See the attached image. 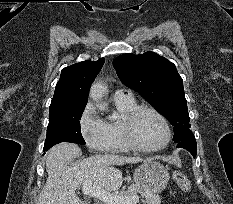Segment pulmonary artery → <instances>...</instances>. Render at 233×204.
<instances>
[{"instance_id": "e3ab8cb5", "label": "pulmonary artery", "mask_w": 233, "mask_h": 204, "mask_svg": "<svg viewBox=\"0 0 233 204\" xmlns=\"http://www.w3.org/2000/svg\"><path fill=\"white\" fill-rule=\"evenodd\" d=\"M115 96H120V97H130L131 96V93L126 90V89H118L116 92H115Z\"/></svg>"}]
</instances>
